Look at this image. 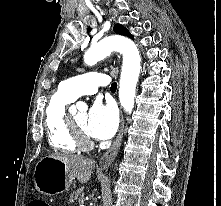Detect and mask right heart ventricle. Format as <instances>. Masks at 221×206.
Wrapping results in <instances>:
<instances>
[{
	"label": "right heart ventricle",
	"mask_w": 221,
	"mask_h": 206,
	"mask_svg": "<svg viewBox=\"0 0 221 206\" xmlns=\"http://www.w3.org/2000/svg\"><path fill=\"white\" fill-rule=\"evenodd\" d=\"M75 99L67 94L62 85L49 99L46 109V131L50 145L57 150L74 153L79 150L70 127L66 108Z\"/></svg>",
	"instance_id": "obj_1"
}]
</instances>
